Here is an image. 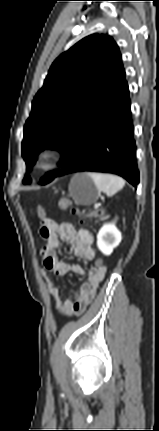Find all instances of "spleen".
I'll return each mask as SVG.
<instances>
[{"instance_id": "obj_1", "label": "spleen", "mask_w": 159, "mask_h": 431, "mask_svg": "<svg viewBox=\"0 0 159 431\" xmlns=\"http://www.w3.org/2000/svg\"><path fill=\"white\" fill-rule=\"evenodd\" d=\"M88 175L94 181L99 192H104L109 197L116 194L125 185V181L115 175L102 173H88Z\"/></svg>"}]
</instances>
